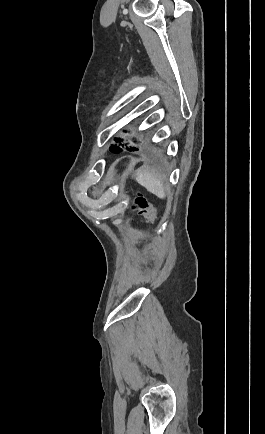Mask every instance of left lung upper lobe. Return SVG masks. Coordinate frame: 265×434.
I'll return each mask as SVG.
<instances>
[{
  "instance_id": "1",
  "label": "left lung upper lobe",
  "mask_w": 265,
  "mask_h": 434,
  "mask_svg": "<svg viewBox=\"0 0 265 434\" xmlns=\"http://www.w3.org/2000/svg\"><path fill=\"white\" fill-rule=\"evenodd\" d=\"M115 141H116V142H120V140L117 139V138L115 139ZM124 146H125V144H121V143H120L118 146H117V145H116V146H111V148H113V149H117V148H121V147H124Z\"/></svg>"
}]
</instances>
